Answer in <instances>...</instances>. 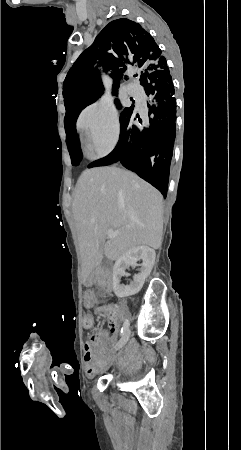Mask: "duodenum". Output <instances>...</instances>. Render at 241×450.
Returning a JSON list of instances; mask_svg holds the SVG:
<instances>
[{"instance_id":"1","label":"duodenum","mask_w":241,"mask_h":450,"mask_svg":"<svg viewBox=\"0 0 241 450\" xmlns=\"http://www.w3.org/2000/svg\"><path fill=\"white\" fill-rule=\"evenodd\" d=\"M109 278V275L107 272H103V271H98V272H94L90 277H89V282L90 283H95V282H106Z\"/></svg>"}]
</instances>
